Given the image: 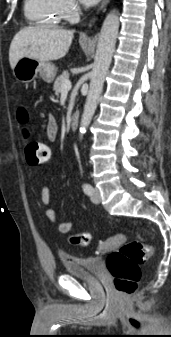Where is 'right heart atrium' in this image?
Segmentation results:
<instances>
[{
  "mask_svg": "<svg viewBox=\"0 0 171 337\" xmlns=\"http://www.w3.org/2000/svg\"><path fill=\"white\" fill-rule=\"evenodd\" d=\"M63 18L69 22L77 19L80 7L75 0H58Z\"/></svg>",
  "mask_w": 171,
  "mask_h": 337,
  "instance_id": "d8ad5b80",
  "label": "right heart atrium"
}]
</instances>
